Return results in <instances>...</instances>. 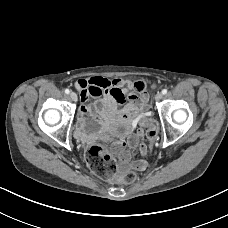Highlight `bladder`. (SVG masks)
I'll return each mask as SVG.
<instances>
[{
    "label": "bladder",
    "mask_w": 228,
    "mask_h": 228,
    "mask_svg": "<svg viewBox=\"0 0 228 228\" xmlns=\"http://www.w3.org/2000/svg\"><path fill=\"white\" fill-rule=\"evenodd\" d=\"M121 116V112H117L115 113V117L114 118H119Z\"/></svg>",
    "instance_id": "bladder-1"
}]
</instances>
